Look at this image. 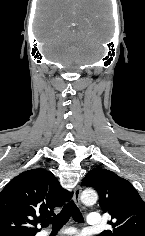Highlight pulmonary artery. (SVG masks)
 I'll return each mask as SVG.
<instances>
[{"mask_svg":"<svg viewBox=\"0 0 145 236\" xmlns=\"http://www.w3.org/2000/svg\"><path fill=\"white\" fill-rule=\"evenodd\" d=\"M87 224L90 227H99L102 225V220L99 214L90 213L87 216ZM72 229L67 230V232H72Z\"/></svg>","mask_w":145,"mask_h":236,"instance_id":"obj_1","label":"pulmonary artery"}]
</instances>
